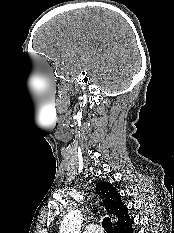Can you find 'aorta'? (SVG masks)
Here are the masks:
<instances>
[{"label": "aorta", "instance_id": "aorta-1", "mask_svg": "<svg viewBox=\"0 0 174 233\" xmlns=\"http://www.w3.org/2000/svg\"><path fill=\"white\" fill-rule=\"evenodd\" d=\"M82 215L79 210L68 212L63 218L59 233H80Z\"/></svg>", "mask_w": 174, "mask_h": 233}]
</instances>
